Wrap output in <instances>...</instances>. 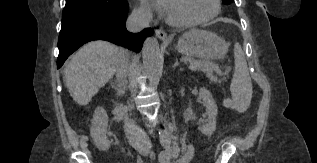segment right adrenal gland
<instances>
[{
  "label": "right adrenal gland",
  "instance_id": "2a0ac1e0",
  "mask_svg": "<svg viewBox=\"0 0 317 163\" xmlns=\"http://www.w3.org/2000/svg\"><path fill=\"white\" fill-rule=\"evenodd\" d=\"M110 83H111L112 87L114 88V90H115L117 93H119V82H118V81H113V80H111Z\"/></svg>",
  "mask_w": 317,
  "mask_h": 163
}]
</instances>
